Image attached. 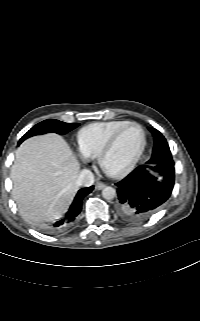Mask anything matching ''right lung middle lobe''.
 <instances>
[{"label":"right lung middle lobe","instance_id":"obj_1","mask_svg":"<svg viewBox=\"0 0 200 321\" xmlns=\"http://www.w3.org/2000/svg\"><path fill=\"white\" fill-rule=\"evenodd\" d=\"M80 124L78 123H65L59 120L55 119H48L45 121H42L32 127L19 141V144L23 142L25 139L35 136V135H41L49 132H55L57 134H66L69 131L75 129Z\"/></svg>","mask_w":200,"mask_h":321}]
</instances>
